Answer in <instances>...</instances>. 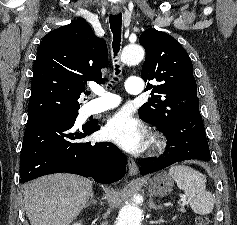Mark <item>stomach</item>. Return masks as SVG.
<instances>
[{
  "label": "stomach",
  "instance_id": "obj_1",
  "mask_svg": "<svg viewBox=\"0 0 237 225\" xmlns=\"http://www.w3.org/2000/svg\"><path fill=\"white\" fill-rule=\"evenodd\" d=\"M147 187L152 195L164 197L173 190L174 182L166 172H160L149 179Z\"/></svg>",
  "mask_w": 237,
  "mask_h": 225
}]
</instances>
